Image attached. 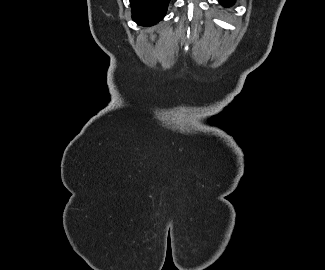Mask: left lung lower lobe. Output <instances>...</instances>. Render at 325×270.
<instances>
[{
	"mask_svg": "<svg viewBox=\"0 0 325 270\" xmlns=\"http://www.w3.org/2000/svg\"><path fill=\"white\" fill-rule=\"evenodd\" d=\"M219 2L223 6H230L234 4L235 0H219Z\"/></svg>",
	"mask_w": 325,
	"mask_h": 270,
	"instance_id": "left-lung-lower-lobe-1",
	"label": "left lung lower lobe"
}]
</instances>
